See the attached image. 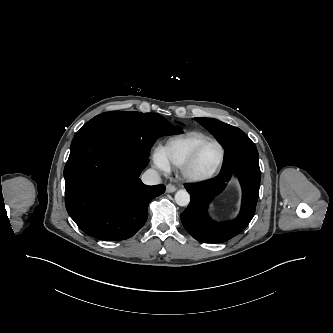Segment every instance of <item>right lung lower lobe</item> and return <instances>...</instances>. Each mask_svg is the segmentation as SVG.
<instances>
[{"mask_svg":"<svg viewBox=\"0 0 333 333\" xmlns=\"http://www.w3.org/2000/svg\"><path fill=\"white\" fill-rule=\"evenodd\" d=\"M149 163L116 142L87 137L71 145L64 168L65 205L78 227L96 239L124 240L146 222L149 202L165 191L139 175Z\"/></svg>","mask_w":333,"mask_h":333,"instance_id":"obj_1","label":"right lung lower lobe"}]
</instances>
